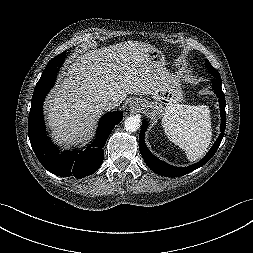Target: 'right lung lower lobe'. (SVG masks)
Masks as SVG:
<instances>
[{"label":"right lung lower lobe","mask_w":253,"mask_h":253,"mask_svg":"<svg viewBox=\"0 0 253 253\" xmlns=\"http://www.w3.org/2000/svg\"><path fill=\"white\" fill-rule=\"evenodd\" d=\"M65 54L66 52H62L47 64L35 87L28 119V135L31 146L44 168L61 177L73 175L76 178H83L100 167L104 157L102 148L115 125L122 120L123 113L116 111L104 115L98 124L95 140L84 151L61 153L52 144L45 131L43 101L55 83Z\"/></svg>","instance_id":"1"}]
</instances>
